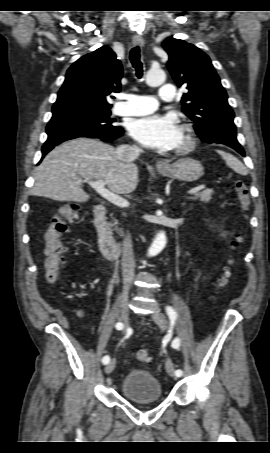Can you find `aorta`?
Here are the masks:
<instances>
[{
    "mask_svg": "<svg viewBox=\"0 0 270 453\" xmlns=\"http://www.w3.org/2000/svg\"><path fill=\"white\" fill-rule=\"evenodd\" d=\"M165 77V72L162 69H151L146 75V83L149 86H158L165 81ZM166 242L167 238L165 232H159L148 250V256H156L159 254L164 249Z\"/></svg>",
    "mask_w": 270,
    "mask_h": 453,
    "instance_id": "1",
    "label": "aorta"
}]
</instances>
